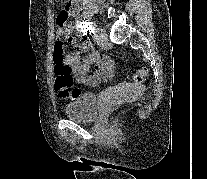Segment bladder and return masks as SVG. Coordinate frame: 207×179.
Instances as JSON below:
<instances>
[{
	"mask_svg": "<svg viewBox=\"0 0 207 179\" xmlns=\"http://www.w3.org/2000/svg\"><path fill=\"white\" fill-rule=\"evenodd\" d=\"M65 116L77 122H91L99 112V98L93 93H81L65 107Z\"/></svg>",
	"mask_w": 207,
	"mask_h": 179,
	"instance_id": "31cf9c89",
	"label": "bladder"
}]
</instances>
